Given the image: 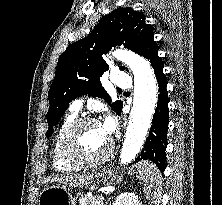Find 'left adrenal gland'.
Masks as SVG:
<instances>
[{
    "mask_svg": "<svg viewBox=\"0 0 222 205\" xmlns=\"http://www.w3.org/2000/svg\"><path fill=\"white\" fill-rule=\"evenodd\" d=\"M110 198H108L107 203L109 202Z\"/></svg>",
    "mask_w": 222,
    "mask_h": 205,
    "instance_id": "a2214340",
    "label": "left adrenal gland"
}]
</instances>
